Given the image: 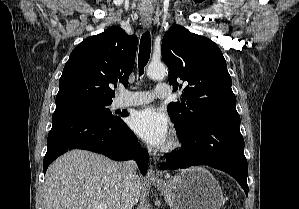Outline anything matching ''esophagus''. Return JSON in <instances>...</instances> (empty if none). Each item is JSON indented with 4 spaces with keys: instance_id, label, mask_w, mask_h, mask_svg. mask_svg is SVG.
<instances>
[{
    "instance_id": "34e87169",
    "label": "esophagus",
    "mask_w": 299,
    "mask_h": 209,
    "mask_svg": "<svg viewBox=\"0 0 299 209\" xmlns=\"http://www.w3.org/2000/svg\"><path fill=\"white\" fill-rule=\"evenodd\" d=\"M141 23L144 28H149L152 23V18L148 16H143L141 18ZM147 176L151 180H159V174L153 169V167L149 168Z\"/></svg>"
}]
</instances>
